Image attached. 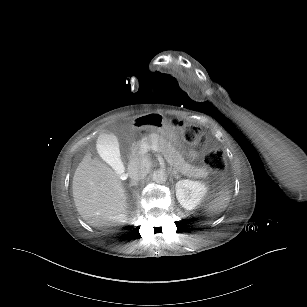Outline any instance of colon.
<instances>
[{
	"mask_svg": "<svg viewBox=\"0 0 307 307\" xmlns=\"http://www.w3.org/2000/svg\"><path fill=\"white\" fill-rule=\"evenodd\" d=\"M172 125L183 132L184 140L192 145H196L204 149L205 138L200 135L197 126L185 123L179 119H172ZM205 164L215 173H221L225 168V161L222 151L218 149L206 150L204 154Z\"/></svg>",
	"mask_w": 307,
	"mask_h": 307,
	"instance_id": "5ec220e1",
	"label": "colon"
}]
</instances>
